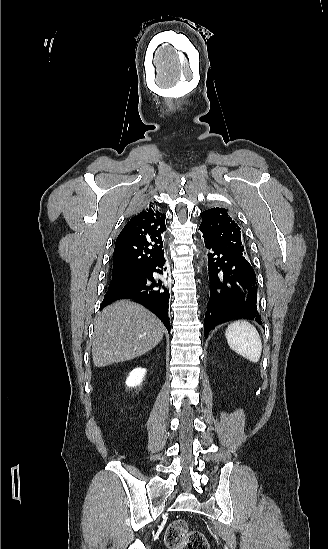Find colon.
I'll use <instances>...</instances> for the list:
<instances>
[{"mask_svg": "<svg viewBox=\"0 0 328 549\" xmlns=\"http://www.w3.org/2000/svg\"><path fill=\"white\" fill-rule=\"evenodd\" d=\"M165 543L170 549H208L203 533L190 530L183 519L173 521L165 532Z\"/></svg>", "mask_w": 328, "mask_h": 549, "instance_id": "5ec220e1", "label": "colon"}]
</instances>
